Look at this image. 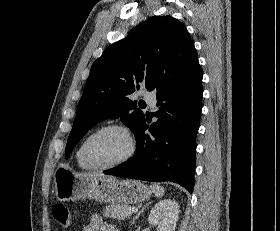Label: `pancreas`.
Returning <instances> with one entry per match:
<instances>
[{
	"instance_id": "pancreas-1",
	"label": "pancreas",
	"mask_w": 280,
	"mask_h": 231,
	"mask_svg": "<svg viewBox=\"0 0 280 231\" xmlns=\"http://www.w3.org/2000/svg\"><path fill=\"white\" fill-rule=\"evenodd\" d=\"M129 205L127 203H110L103 209V217H116V219H125L129 217Z\"/></svg>"
}]
</instances>
